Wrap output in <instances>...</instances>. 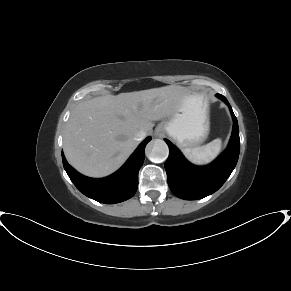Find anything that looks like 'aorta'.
Wrapping results in <instances>:
<instances>
[{
    "label": "aorta",
    "mask_w": 291,
    "mask_h": 291,
    "mask_svg": "<svg viewBox=\"0 0 291 291\" xmlns=\"http://www.w3.org/2000/svg\"><path fill=\"white\" fill-rule=\"evenodd\" d=\"M149 159L154 163L165 161L169 154V148L164 140L155 139L147 146Z\"/></svg>",
    "instance_id": "aorta-1"
}]
</instances>
